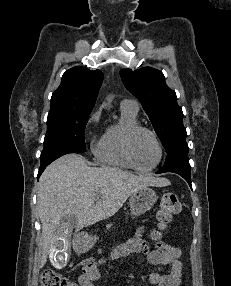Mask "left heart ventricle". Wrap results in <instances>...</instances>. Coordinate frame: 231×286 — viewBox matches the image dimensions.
Returning a JSON list of instances; mask_svg holds the SVG:
<instances>
[{
	"mask_svg": "<svg viewBox=\"0 0 231 286\" xmlns=\"http://www.w3.org/2000/svg\"><path fill=\"white\" fill-rule=\"evenodd\" d=\"M132 153L136 164L141 168H150L158 160V148L150 134L138 133L133 139Z\"/></svg>",
	"mask_w": 231,
	"mask_h": 286,
	"instance_id": "b2bd125f",
	"label": "left heart ventricle"
}]
</instances>
